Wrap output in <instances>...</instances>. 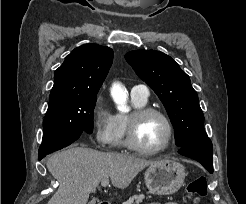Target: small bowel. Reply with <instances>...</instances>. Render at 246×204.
Instances as JSON below:
<instances>
[{
  "label": "small bowel",
  "mask_w": 246,
  "mask_h": 204,
  "mask_svg": "<svg viewBox=\"0 0 246 204\" xmlns=\"http://www.w3.org/2000/svg\"><path fill=\"white\" fill-rule=\"evenodd\" d=\"M149 204H159V203H149ZM166 204H178V203H175V202H169V203H166Z\"/></svg>",
  "instance_id": "obj_1"
}]
</instances>
